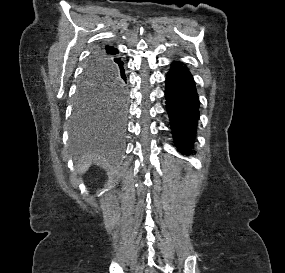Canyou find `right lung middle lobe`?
Masks as SVG:
<instances>
[{"label": "right lung middle lobe", "mask_w": 285, "mask_h": 273, "mask_svg": "<svg viewBox=\"0 0 285 273\" xmlns=\"http://www.w3.org/2000/svg\"><path fill=\"white\" fill-rule=\"evenodd\" d=\"M124 84L117 78L109 57L96 50L80 78L74 109V127L82 130L88 116L111 95L123 96ZM123 116V111L119 112Z\"/></svg>", "instance_id": "obj_1"}]
</instances>
